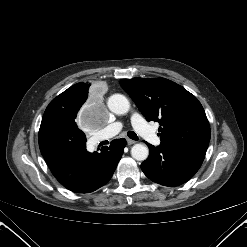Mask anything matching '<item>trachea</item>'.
<instances>
[{"instance_id":"trachea-1","label":"trachea","mask_w":247,"mask_h":247,"mask_svg":"<svg viewBox=\"0 0 247 247\" xmlns=\"http://www.w3.org/2000/svg\"><path fill=\"white\" fill-rule=\"evenodd\" d=\"M127 135H128L129 138H131V139H133V140H138V136H137L136 133L133 132V131H129V132L127 133Z\"/></svg>"}]
</instances>
